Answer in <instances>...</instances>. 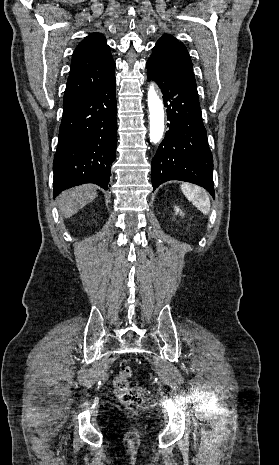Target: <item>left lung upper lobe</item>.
<instances>
[{"label":"left lung upper lobe","instance_id":"5c2ea615","mask_svg":"<svg viewBox=\"0 0 279 465\" xmlns=\"http://www.w3.org/2000/svg\"><path fill=\"white\" fill-rule=\"evenodd\" d=\"M150 58L193 74L192 62L186 47L173 36L163 35L153 47Z\"/></svg>","mask_w":279,"mask_h":465}]
</instances>
